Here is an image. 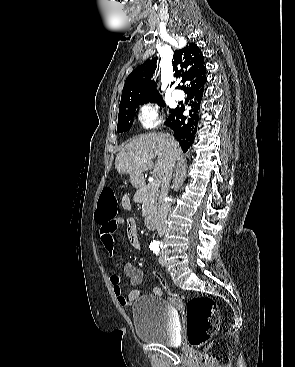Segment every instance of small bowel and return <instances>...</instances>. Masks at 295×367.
Returning a JSON list of instances; mask_svg holds the SVG:
<instances>
[{"mask_svg":"<svg viewBox=\"0 0 295 367\" xmlns=\"http://www.w3.org/2000/svg\"><path fill=\"white\" fill-rule=\"evenodd\" d=\"M122 207L125 210L131 209V202L128 196L123 197ZM122 223L126 224L127 236L131 245L135 249L141 248V239L138 231V225L134 218L132 217H128L126 219L116 218L113 221H109L106 223L98 222V224L100 225L99 240L110 257H113L115 249L114 233L117 227ZM123 271L128 278L129 285L132 287V290L129 292L127 296H125L122 292V288L120 285L121 277L119 274L116 273L112 274L110 276V282L112 284L113 292L117 298L118 303L122 307H128L132 305V303L140 296V290L138 287L143 281L144 274L141 268L133 265L130 262L123 263ZM152 292L154 295L162 294V290L159 287H154Z\"/></svg>","mask_w":295,"mask_h":367,"instance_id":"1","label":"small bowel"}]
</instances>
